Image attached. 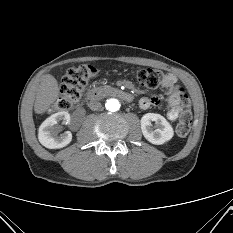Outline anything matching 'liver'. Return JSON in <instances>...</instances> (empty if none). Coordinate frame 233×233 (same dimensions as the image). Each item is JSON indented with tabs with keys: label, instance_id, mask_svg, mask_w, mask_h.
<instances>
[{
	"label": "liver",
	"instance_id": "1",
	"mask_svg": "<svg viewBox=\"0 0 233 233\" xmlns=\"http://www.w3.org/2000/svg\"><path fill=\"white\" fill-rule=\"evenodd\" d=\"M59 93L58 82L54 76L51 74L43 75L35 99V113L41 114L46 112L57 100Z\"/></svg>",
	"mask_w": 233,
	"mask_h": 233
}]
</instances>
